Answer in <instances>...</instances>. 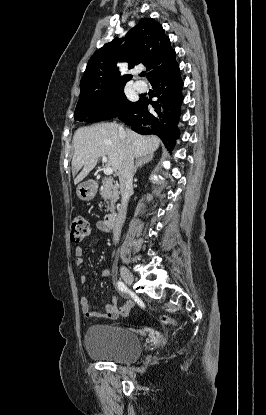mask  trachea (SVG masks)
I'll list each match as a JSON object with an SVG mask.
<instances>
[{"label": "trachea", "instance_id": "trachea-1", "mask_svg": "<svg viewBox=\"0 0 266 415\" xmlns=\"http://www.w3.org/2000/svg\"><path fill=\"white\" fill-rule=\"evenodd\" d=\"M141 76H146V72H142L141 73Z\"/></svg>", "mask_w": 266, "mask_h": 415}]
</instances>
